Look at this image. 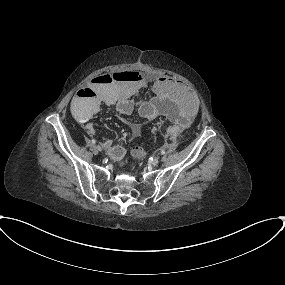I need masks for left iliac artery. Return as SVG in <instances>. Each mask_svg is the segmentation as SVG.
Masks as SVG:
<instances>
[{
	"mask_svg": "<svg viewBox=\"0 0 285 285\" xmlns=\"http://www.w3.org/2000/svg\"><path fill=\"white\" fill-rule=\"evenodd\" d=\"M164 153H165V152L162 150V151H161V154H164Z\"/></svg>",
	"mask_w": 285,
	"mask_h": 285,
	"instance_id": "1",
	"label": "left iliac artery"
}]
</instances>
